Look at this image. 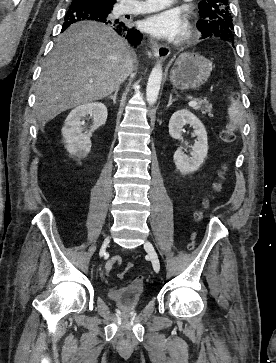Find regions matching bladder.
I'll use <instances>...</instances> for the list:
<instances>
[{
	"instance_id": "31cf9c89",
	"label": "bladder",
	"mask_w": 276,
	"mask_h": 363,
	"mask_svg": "<svg viewBox=\"0 0 276 363\" xmlns=\"http://www.w3.org/2000/svg\"><path fill=\"white\" fill-rule=\"evenodd\" d=\"M107 296L123 308H134L142 304L144 289L143 286L131 283L125 286L109 288Z\"/></svg>"
}]
</instances>
